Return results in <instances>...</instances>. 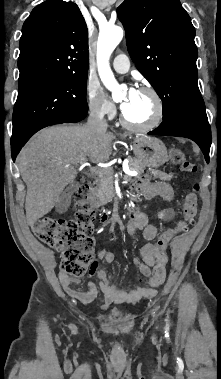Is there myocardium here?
Returning <instances> with one entry per match:
<instances>
[{"instance_id":"obj_1","label":"myocardium","mask_w":221,"mask_h":379,"mask_svg":"<svg viewBox=\"0 0 221 379\" xmlns=\"http://www.w3.org/2000/svg\"><path fill=\"white\" fill-rule=\"evenodd\" d=\"M140 92L148 94L154 101L155 111L152 119L145 123V124H136L131 121H129L124 112L121 113V123L123 126H125L128 129L139 131V132H147L155 129L159 126V124L162 122L164 117V103L160 96V94L152 87H142L140 89Z\"/></svg>"}]
</instances>
